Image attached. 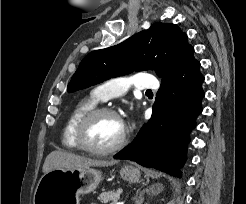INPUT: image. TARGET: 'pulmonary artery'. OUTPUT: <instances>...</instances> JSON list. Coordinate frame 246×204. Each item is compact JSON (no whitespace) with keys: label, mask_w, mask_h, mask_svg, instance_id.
<instances>
[{"label":"pulmonary artery","mask_w":246,"mask_h":204,"mask_svg":"<svg viewBox=\"0 0 246 204\" xmlns=\"http://www.w3.org/2000/svg\"><path fill=\"white\" fill-rule=\"evenodd\" d=\"M131 86L139 90H154L158 88L159 83L153 75L147 73H138L131 77H117L97 86L93 91V96L97 101H107L125 94Z\"/></svg>","instance_id":"obj_1"}]
</instances>
